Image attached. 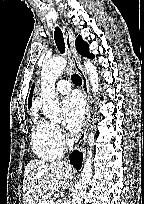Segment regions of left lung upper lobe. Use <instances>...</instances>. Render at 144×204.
I'll return each mask as SVG.
<instances>
[{"instance_id": "5c2ea615", "label": "left lung upper lobe", "mask_w": 144, "mask_h": 204, "mask_svg": "<svg viewBox=\"0 0 144 204\" xmlns=\"http://www.w3.org/2000/svg\"><path fill=\"white\" fill-rule=\"evenodd\" d=\"M76 49L78 53L82 54L83 56L94 58V55L89 53L88 43H86L80 35L76 38Z\"/></svg>"}]
</instances>
